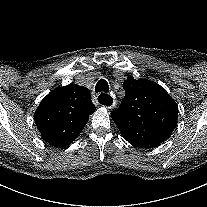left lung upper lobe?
<instances>
[{
	"label": "left lung upper lobe",
	"instance_id": "5c2ea615",
	"mask_svg": "<svg viewBox=\"0 0 207 207\" xmlns=\"http://www.w3.org/2000/svg\"><path fill=\"white\" fill-rule=\"evenodd\" d=\"M123 88L125 97L111 117L124 139L139 148L164 142L177 124L176 102L162 86L146 79L129 76Z\"/></svg>",
	"mask_w": 207,
	"mask_h": 207
}]
</instances>
